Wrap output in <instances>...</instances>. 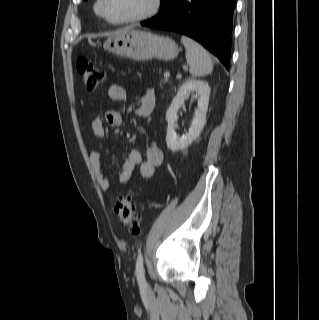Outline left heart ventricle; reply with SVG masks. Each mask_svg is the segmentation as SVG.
Segmentation results:
<instances>
[{"mask_svg": "<svg viewBox=\"0 0 319 320\" xmlns=\"http://www.w3.org/2000/svg\"><path fill=\"white\" fill-rule=\"evenodd\" d=\"M105 9L109 18L122 20L147 12L153 0H105Z\"/></svg>", "mask_w": 319, "mask_h": 320, "instance_id": "obj_1", "label": "left heart ventricle"}]
</instances>
